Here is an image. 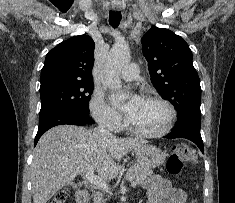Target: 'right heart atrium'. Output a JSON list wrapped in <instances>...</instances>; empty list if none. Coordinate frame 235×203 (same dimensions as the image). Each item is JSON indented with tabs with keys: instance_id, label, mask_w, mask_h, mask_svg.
<instances>
[{
	"instance_id": "obj_1",
	"label": "right heart atrium",
	"mask_w": 235,
	"mask_h": 203,
	"mask_svg": "<svg viewBox=\"0 0 235 203\" xmlns=\"http://www.w3.org/2000/svg\"><path fill=\"white\" fill-rule=\"evenodd\" d=\"M90 111L99 125L111 131H117L122 126L121 116L109 106L101 92H95L91 102Z\"/></svg>"
}]
</instances>
